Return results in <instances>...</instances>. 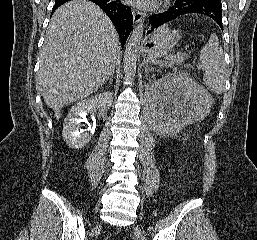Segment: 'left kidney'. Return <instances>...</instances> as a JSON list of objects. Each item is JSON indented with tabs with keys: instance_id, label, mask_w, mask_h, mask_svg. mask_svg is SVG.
<instances>
[{
	"instance_id": "5707ae66",
	"label": "left kidney",
	"mask_w": 257,
	"mask_h": 240,
	"mask_svg": "<svg viewBox=\"0 0 257 240\" xmlns=\"http://www.w3.org/2000/svg\"><path fill=\"white\" fill-rule=\"evenodd\" d=\"M145 110L151 128L164 135H174L205 117L209 94L186 74L169 73L146 86Z\"/></svg>"
}]
</instances>
